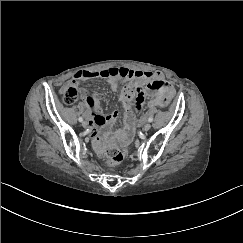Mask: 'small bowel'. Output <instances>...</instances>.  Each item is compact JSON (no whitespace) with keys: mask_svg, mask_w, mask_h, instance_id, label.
<instances>
[{"mask_svg":"<svg viewBox=\"0 0 243 243\" xmlns=\"http://www.w3.org/2000/svg\"><path fill=\"white\" fill-rule=\"evenodd\" d=\"M106 78L110 82L112 89H117L119 79L129 80L136 86L135 108L140 110L145 101V96L150 95L148 102L150 109L165 108L174 96V88L165 81L164 75L159 71L132 70L123 67H113L99 71H78L73 75L72 84H79L88 79ZM67 86L62 88V91ZM87 104L91 108L90 131L93 137H97L101 127L114 122L118 113L113 111L107 116H103L99 105V98L95 95L86 94L84 96Z\"/></svg>","mask_w":243,"mask_h":243,"instance_id":"1","label":"small bowel"}]
</instances>
